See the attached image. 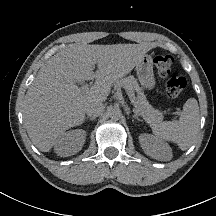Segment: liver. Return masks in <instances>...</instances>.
I'll return each mask as SVG.
<instances>
[{
  "instance_id": "6515ba94",
  "label": "liver",
  "mask_w": 216,
  "mask_h": 216,
  "mask_svg": "<svg viewBox=\"0 0 216 216\" xmlns=\"http://www.w3.org/2000/svg\"><path fill=\"white\" fill-rule=\"evenodd\" d=\"M151 48L148 43H76L52 56L24 99V125L32 143L49 152L65 130L84 122L86 106L105 101L112 85L129 74ZM95 65L97 71L93 72ZM94 78L95 84L88 89L75 85Z\"/></svg>"
}]
</instances>
